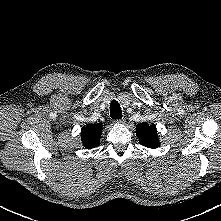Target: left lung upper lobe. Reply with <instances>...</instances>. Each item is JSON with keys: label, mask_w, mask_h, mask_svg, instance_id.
<instances>
[{"label": "left lung upper lobe", "mask_w": 221, "mask_h": 221, "mask_svg": "<svg viewBox=\"0 0 221 221\" xmlns=\"http://www.w3.org/2000/svg\"><path fill=\"white\" fill-rule=\"evenodd\" d=\"M136 132L140 144L152 149L160 145L156 126L154 124L148 125L147 123H141L136 126Z\"/></svg>", "instance_id": "5c2ea615"}]
</instances>
